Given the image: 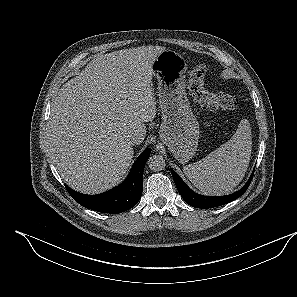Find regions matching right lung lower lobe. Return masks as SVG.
<instances>
[{
  "mask_svg": "<svg viewBox=\"0 0 297 297\" xmlns=\"http://www.w3.org/2000/svg\"><path fill=\"white\" fill-rule=\"evenodd\" d=\"M150 148L145 149L134 163L127 179L119 186L98 195H85L66 186L71 197L85 208L117 214L137 204L143 191V171L150 156Z\"/></svg>",
  "mask_w": 297,
  "mask_h": 297,
  "instance_id": "1",
  "label": "right lung lower lobe"
}]
</instances>
